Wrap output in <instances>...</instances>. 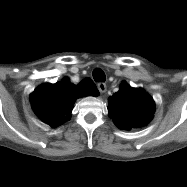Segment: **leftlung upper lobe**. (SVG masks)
I'll list each match as a JSON object with an SVG mask.
<instances>
[{"mask_svg": "<svg viewBox=\"0 0 187 187\" xmlns=\"http://www.w3.org/2000/svg\"><path fill=\"white\" fill-rule=\"evenodd\" d=\"M155 104L141 88L122 83L120 90L109 98L108 112L120 129L130 130L147 124L153 117Z\"/></svg>", "mask_w": 187, "mask_h": 187, "instance_id": "obj_1", "label": "left lung upper lobe"}]
</instances>
